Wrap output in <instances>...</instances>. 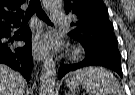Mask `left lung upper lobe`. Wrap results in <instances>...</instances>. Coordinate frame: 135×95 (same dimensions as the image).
Segmentation results:
<instances>
[{
	"mask_svg": "<svg viewBox=\"0 0 135 95\" xmlns=\"http://www.w3.org/2000/svg\"><path fill=\"white\" fill-rule=\"evenodd\" d=\"M64 9L66 14L77 16V21L71 23L74 29L69 36L79 41L84 48L101 44L117 45L113 25L102 0H64Z\"/></svg>",
	"mask_w": 135,
	"mask_h": 95,
	"instance_id": "1",
	"label": "left lung upper lobe"
}]
</instances>
